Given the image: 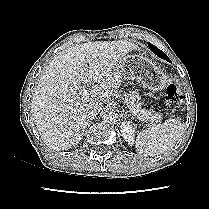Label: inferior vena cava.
I'll return each instance as SVG.
<instances>
[{"label": "inferior vena cava", "instance_id": "obj_1", "mask_svg": "<svg viewBox=\"0 0 209 209\" xmlns=\"http://www.w3.org/2000/svg\"><path fill=\"white\" fill-rule=\"evenodd\" d=\"M101 104L99 103H95V104H92L89 108H88V115L89 116H96L100 110H101Z\"/></svg>", "mask_w": 209, "mask_h": 209}]
</instances>
